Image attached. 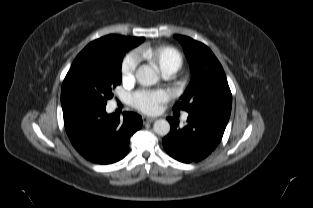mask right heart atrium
Here are the masks:
<instances>
[{"label": "right heart atrium", "instance_id": "obj_1", "mask_svg": "<svg viewBox=\"0 0 313 208\" xmlns=\"http://www.w3.org/2000/svg\"><path fill=\"white\" fill-rule=\"evenodd\" d=\"M139 58L137 54L131 53L128 54L122 62L121 65V76L124 81H129L133 79L134 72L138 65Z\"/></svg>", "mask_w": 313, "mask_h": 208}]
</instances>
